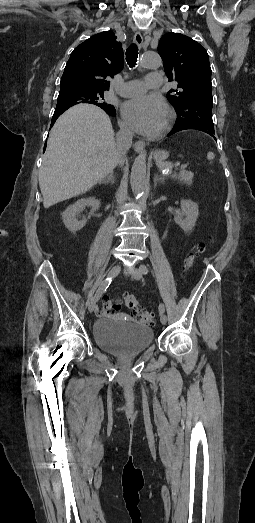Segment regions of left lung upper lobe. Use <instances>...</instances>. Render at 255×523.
<instances>
[{
  "label": "left lung upper lobe",
  "mask_w": 255,
  "mask_h": 523,
  "mask_svg": "<svg viewBox=\"0 0 255 523\" xmlns=\"http://www.w3.org/2000/svg\"><path fill=\"white\" fill-rule=\"evenodd\" d=\"M158 53L169 81L178 82V90L166 95L177 112L174 128L203 127L215 138L211 67L205 48L190 37L170 32L161 37Z\"/></svg>",
  "instance_id": "obj_1"
}]
</instances>
